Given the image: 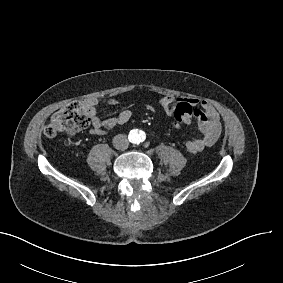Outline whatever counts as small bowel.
<instances>
[{"mask_svg": "<svg viewBox=\"0 0 283 283\" xmlns=\"http://www.w3.org/2000/svg\"><path fill=\"white\" fill-rule=\"evenodd\" d=\"M183 101H190L196 107V116L193 119L200 135L186 143V149L190 153H199L205 148L213 146L223 132L220 116L217 110L207 101L196 97L177 98L173 95H166L160 100L161 106L170 113L177 105ZM106 103L117 106L120 101L109 98ZM99 100L96 97H88L81 101L82 111L91 119L90 132L94 135H103L107 130L116 126L126 124L132 117V112L128 109L122 110L116 117L104 119L97 112ZM192 120V121H193Z\"/></svg>", "mask_w": 283, "mask_h": 283, "instance_id": "obj_1", "label": "small bowel"}]
</instances>
